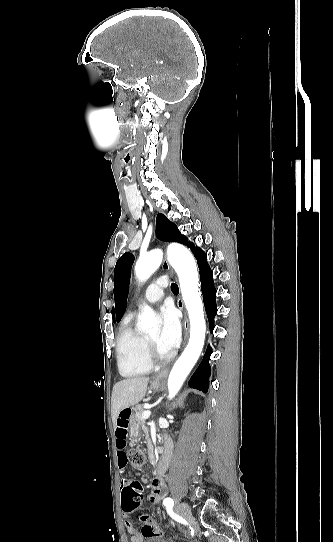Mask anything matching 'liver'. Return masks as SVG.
Returning a JSON list of instances; mask_svg holds the SVG:
<instances>
[{"label":"liver","instance_id":"liver-1","mask_svg":"<svg viewBox=\"0 0 333 542\" xmlns=\"http://www.w3.org/2000/svg\"><path fill=\"white\" fill-rule=\"evenodd\" d=\"M150 378H144V376H136V378H127V380H121L117 382L113 388L111 398V416L113 422V428H117V420L120 412L125 408H131L136 406L141 400H143Z\"/></svg>","mask_w":333,"mask_h":542}]
</instances>
